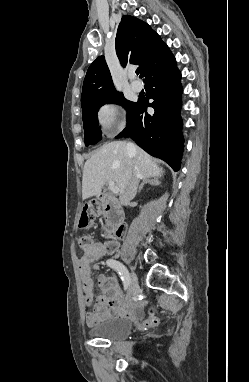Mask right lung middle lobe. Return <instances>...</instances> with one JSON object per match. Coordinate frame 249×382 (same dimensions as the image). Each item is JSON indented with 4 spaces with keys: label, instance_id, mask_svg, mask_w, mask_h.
Listing matches in <instances>:
<instances>
[{
    "label": "right lung middle lobe",
    "instance_id": "obj_1",
    "mask_svg": "<svg viewBox=\"0 0 249 382\" xmlns=\"http://www.w3.org/2000/svg\"><path fill=\"white\" fill-rule=\"evenodd\" d=\"M106 103H116L122 105L127 110L128 118L136 106V102L126 100L123 94H118L109 98L97 99L88 104L84 109H82L85 132L84 141L86 146L96 144L102 138L100 127L98 126L97 112L98 109Z\"/></svg>",
    "mask_w": 249,
    "mask_h": 382
}]
</instances>
